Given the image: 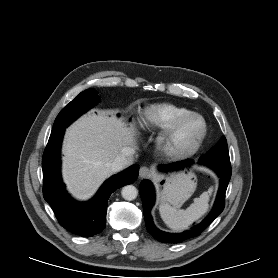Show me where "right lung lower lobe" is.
Wrapping results in <instances>:
<instances>
[{
	"label": "right lung lower lobe",
	"mask_w": 278,
	"mask_h": 278,
	"mask_svg": "<svg viewBox=\"0 0 278 278\" xmlns=\"http://www.w3.org/2000/svg\"><path fill=\"white\" fill-rule=\"evenodd\" d=\"M64 131L65 129L51 133L43 154V196L62 227L76 235L91 237L105 228L111 193L133 183L138 177L139 167L133 165L108 179L90 201L77 202L66 192L60 173V150Z\"/></svg>",
	"instance_id": "right-lung-lower-lobe-1"
}]
</instances>
